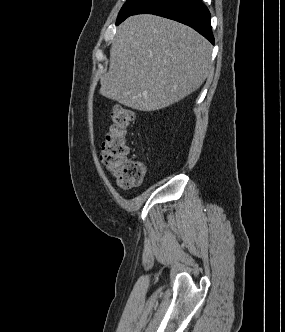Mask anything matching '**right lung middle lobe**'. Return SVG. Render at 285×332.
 <instances>
[{"label": "right lung middle lobe", "mask_w": 285, "mask_h": 332, "mask_svg": "<svg viewBox=\"0 0 285 332\" xmlns=\"http://www.w3.org/2000/svg\"><path fill=\"white\" fill-rule=\"evenodd\" d=\"M148 0H127L123 7L121 8L116 25L120 24L124 21L127 17H129L135 10L141 7L144 3Z\"/></svg>", "instance_id": "1"}]
</instances>
